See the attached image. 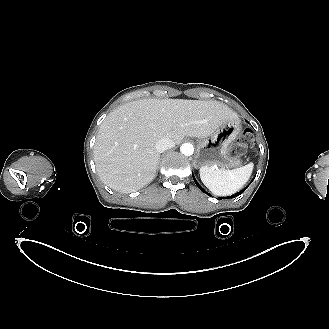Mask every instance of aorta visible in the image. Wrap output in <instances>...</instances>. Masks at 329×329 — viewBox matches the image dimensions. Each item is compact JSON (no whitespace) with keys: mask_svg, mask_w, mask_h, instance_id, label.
Returning a JSON list of instances; mask_svg holds the SVG:
<instances>
[{"mask_svg":"<svg viewBox=\"0 0 329 329\" xmlns=\"http://www.w3.org/2000/svg\"><path fill=\"white\" fill-rule=\"evenodd\" d=\"M180 152L185 156H191L194 153V146L190 143H184L180 147Z\"/></svg>","mask_w":329,"mask_h":329,"instance_id":"obj_1","label":"aorta"}]
</instances>
